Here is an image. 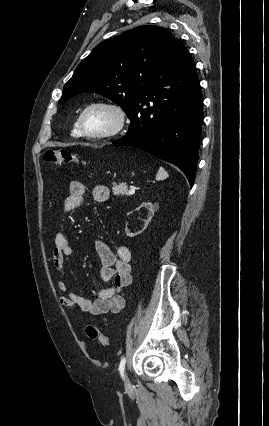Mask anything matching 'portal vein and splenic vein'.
I'll return each instance as SVG.
<instances>
[{"label":"portal vein and splenic vein","instance_id":"1","mask_svg":"<svg viewBox=\"0 0 269 426\" xmlns=\"http://www.w3.org/2000/svg\"><path fill=\"white\" fill-rule=\"evenodd\" d=\"M135 193V189H130L129 191H128V194H134Z\"/></svg>","mask_w":269,"mask_h":426}]
</instances>
